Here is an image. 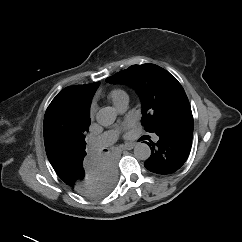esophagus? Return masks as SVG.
Listing matches in <instances>:
<instances>
[{
	"label": "esophagus",
	"mask_w": 242,
	"mask_h": 242,
	"mask_svg": "<svg viewBox=\"0 0 242 242\" xmlns=\"http://www.w3.org/2000/svg\"><path fill=\"white\" fill-rule=\"evenodd\" d=\"M134 143H126L125 145L122 146L123 150H131L134 148Z\"/></svg>",
	"instance_id": "1"
}]
</instances>
